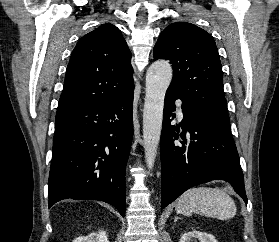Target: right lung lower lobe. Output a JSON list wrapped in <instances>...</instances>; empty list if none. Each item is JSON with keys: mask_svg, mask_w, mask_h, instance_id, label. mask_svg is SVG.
Here are the masks:
<instances>
[{"mask_svg": "<svg viewBox=\"0 0 279 242\" xmlns=\"http://www.w3.org/2000/svg\"><path fill=\"white\" fill-rule=\"evenodd\" d=\"M132 110L133 90L114 101L57 112L49 207L66 198L99 200L124 217Z\"/></svg>", "mask_w": 279, "mask_h": 242, "instance_id": "right-lung-lower-lobe-1", "label": "right lung lower lobe"}]
</instances>
